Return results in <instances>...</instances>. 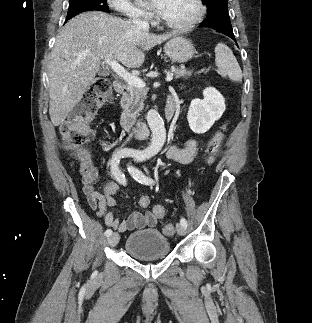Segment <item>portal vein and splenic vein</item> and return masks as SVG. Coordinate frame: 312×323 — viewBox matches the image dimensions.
Returning a JSON list of instances; mask_svg holds the SVG:
<instances>
[{
	"label": "portal vein and splenic vein",
	"instance_id": "1",
	"mask_svg": "<svg viewBox=\"0 0 312 323\" xmlns=\"http://www.w3.org/2000/svg\"><path fill=\"white\" fill-rule=\"evenodd\" d=\"M108 66H110L111 70L117 74V76H120V78H123L125 82H128L129 86H135V88H144L145 84L140 80V78H137V76H132V74H129V72H126L116 60H109V62H106ZM173 80V74H169L166 78V82H171Z\"/></svg>",
	"mask_w": 312,
	"mask_h": 323
}]
</instances>
